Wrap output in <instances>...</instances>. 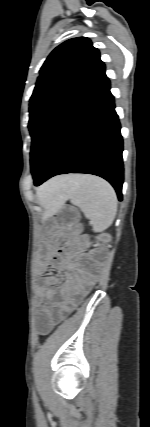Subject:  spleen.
Masks as SVG:
<instances>
[{"instance_id": "spleen-1", "label": "spleen", "mask_w": 150, "mask_h": 427, "mask_svg": "<svg viewBox=\"0 0 150 427\" xmlns=\"http://www.w3.org/2000/svg\"><path fill=\"white\" fill-rule=\"evenodd\" d=\"M45 198L51 205L70 199L90 220L94 232L106 230L117 214L118 201L113 187L97 176H66L50 185Z\"/></svg>"}]
</instances>
